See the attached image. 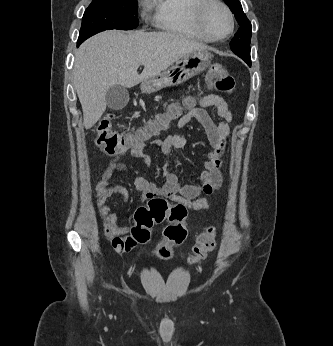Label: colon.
Here are the masks:
<instances>
[{
  "label": "colon",
  "instance_id": "obj_1",
  "mask_svg": "<svg viewBox=\"0 0 333 346\" xmlns=\"http://www.w3.org/2000/svg\"><path fill=\"white\" fill-rule=\"evenodd\" d=\"M210 75L215 88L225 94L233 92L235 87L234 77L219 65L210 68ZM193 106V100L186 98L182 104H171L161 113L150 118L142 127L133 132L117 131L112 126L113 116L101 120L96 131V144L107 154H124L146 145L151 139L160 135L178 119L184 107ZM187 210L179 204H169L165 199L154 198L146 205L140 206L134 213L135 224L131 228L136 236V245L145 244L150 239V230L154 225L168 221L170 224L164 230V239L155 248L156 254L162 259L172 256L173 248L181 245L187 237L184 220ZM217 237L216 229L208 228L199 235L189 258L193 264H198L205 259L207 254L214 249Z\"/></svg>",
  "mask_w": 333,
  "mask_h": 346
}]
</instances>
